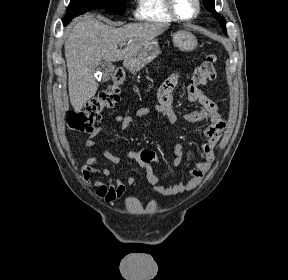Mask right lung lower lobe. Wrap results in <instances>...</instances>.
Returning a JSON list of instances; mask_svg holds the SVG:
<instances>
[{
    "label": "right lung lower lobe",
    "mask_w": 288,
    "mask_h": 280,
    "mask_svg": "<svg viewBox=\"0 0 288 280\" xmlns=\"http://www.w3.org/2000/svg\"><path fill=\"white\" fill-rule=\"evenodd\" d=\"M73 19V18H72ZM72 19L67 20V21H63V25L66 26Z\"/></svg>",
    "instance_id": "right-lung-lower-lobe-1"
}]
</instances>
